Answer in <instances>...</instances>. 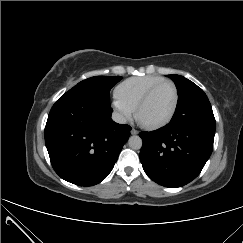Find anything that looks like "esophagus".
<instances>
[{"instance_id":"34e87169","label":"esophagus","mask_w":243,"mask_h":243,"mask_svg":"<svg viewBox=\"0 0 243 243\" xmlns=\"http://www.w3.org/2000/svg\"><path fill=\"white\" fill-rule=\"evenodd\" d=\"M131 134H132V135H136V134H138V131L135 130V129H132V130H131Z\"/></svg>"}]
</instances>
